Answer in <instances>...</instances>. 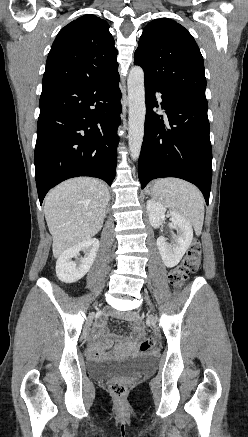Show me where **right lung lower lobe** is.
<instances>
[{"label": "right lung lower lobe", "instance_id": "right-lung-lower-lobe-1", "mask_svg": "<svg viewBox=\"0 0 248 437\" xmlns=\"http://www.w3.org/2000/svg\"><path fill=\"white\" fill-rule=\"evenodd\" d=\"M117 72L93 82L42 87L34 154L40 204L58 183L116 175L121 92Z\"/></svg>", "mask_w": 248, "mask_h": 437}]
</instances>
